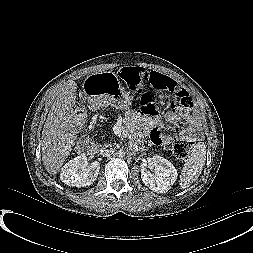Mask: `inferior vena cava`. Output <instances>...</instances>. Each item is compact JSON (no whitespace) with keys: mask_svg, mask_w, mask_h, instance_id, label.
<instances>
[{"mask_svg":"<svg viewBox=\"0 0 253 253\" xmlns=\"http://www.w3.org/2000/svg\"><path fill=\"white\" fill-rule=\"evenodd\" d=\"M113 150H105L104 152H103V156H105V157H110L112 154H113Z\"/></svg>","mask_w":253,"mask_h":253,"instance_id":"602c4592","label":"inferior vena cava"}]
</instances>
